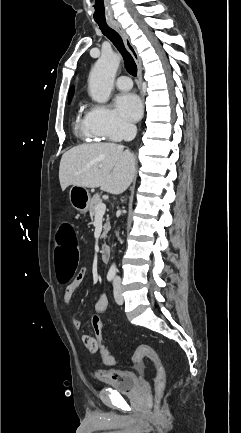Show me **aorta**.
<instances>
[{"label":"aorta","mask_w":241,"mask_h":433,"mask_svg":"<svg viewBox=\"0 0 241 433\" xmlns=\"http://www.w3.org/2000/svg\"><path fill=\"white\" fill-rule=\"evenodd\" d=\"M120 64V56L117 53H103L97 60L89 76V94L98 103L109 100L117 69ZM116 265L113 263L108 273L115 275Z\"/></svg>","instance_id":"1"}]
</instances>
